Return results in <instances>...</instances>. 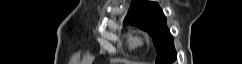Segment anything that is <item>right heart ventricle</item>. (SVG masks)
Wrapping results in <instances>:
<instances>
[{"mask_svg": "<svg viewBox=\"0 0 242 64\" xmlns=\"http://www.w3.org/2000/svg\"><path fill=\"white\" fill-rule=\"evenodd\" d=\"M127 44H128V46H129L130 48H134V47L137 46L138 41H137V39H136L135 37H133V36H129V37L127 38Z\"/></svg>", "mask_w": 242, "mask_h": 64, "instance_id": "right-heart-ventricle-1", "label": "right heart ventricle"}]
</instances>
